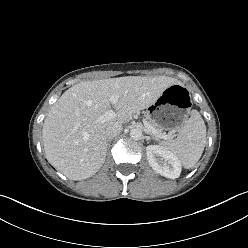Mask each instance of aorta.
Wrapping results in <instances>:
<instances>
[{"mask_svg":"<svg viewBox=\"0 0 248 248\" xmlns=\"http://www.w3.org/2000/svg\"><path fill=\"white\" fill-rule=\"evenodd\" d=\"M130 138L133 140H140L142 138V130L139 128H133L130 131Z\"/></svg>","mask_w":248,"mask_h":248,"instance_id":"1","label":"aorta"}]
</instances>
